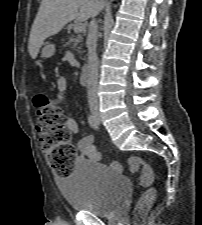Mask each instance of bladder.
Here are the masks:
<instances>
[{"label": "bladder", "mask_w": 202, "mask_h": 225, "mask_svg": "<svg viewBox=\"0 0 202 225\" xmlns=\"http://www.w3.org/2000/svg\"><path fill=\"white\" fill-rule=\"evenodd\" d=\"M131 188L125 174L83 159L75 162L73 171L64 177L60 191L72 210L108 217L118 212Z\"/></svg>", "instance_id": "1"}]
</instances>
